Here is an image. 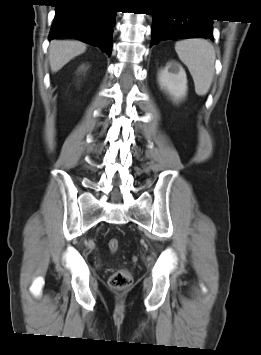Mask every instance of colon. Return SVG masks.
Instances as JSON below:
<instances>
[{"label":"colon","instance_id":"5ec220e1","mask_svg":"<svg viewBox=\"0 0 261 355\" xmlns=\"http://www.w3.org/2000/svg\"><path fill=\"white\" fill-rule=\"evenodd\" d=\"M108 248L111 252H117L120 242L117 238H110ZM132 284V275L128 269H120L116 271L109 279V285L115 290L127 289Z\"/></svg>","mask_w":261,"mask_h":355}]
</instances>
